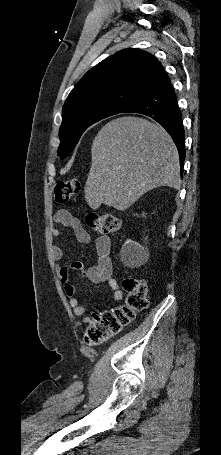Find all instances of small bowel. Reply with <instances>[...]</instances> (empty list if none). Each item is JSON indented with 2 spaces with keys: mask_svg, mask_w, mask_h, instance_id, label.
Listing matches in <instances>:
<instances>
[{
  "mask_svg": "<svg viewBox=\"0 0 221 455\" xmlns=\"http://www.w3.org/2000/svg\"><path fill=\"white\" fill-rule=\"evenodd\" d=\"M55 222L59 226L69 228L74 231L77 239L81 243H89L90 235L85 230L80 220L73 214L66 210H60L55 216ZM54 237L61 236L60 230L57 227L51 229ZM95 247L97 252L96 265L85 269L83 263L73 262L69 265H63L59 268V280L64 286L68 302L72 307L73 313L76 316L84 315L87 308L81 304L80 299L76 296L75 285L69 283V274L71 271H79L87 277L94 284L106 283L113 291V300L120 301L123 297V292L119 288L116 279L112 277V261L110 258L111 242L107 236H99L95 240ZM52 256L55 260H61L64 257V252L61 247L54 245L51 250Z\"/></svg>",
  "mask_w": 221,
  "mask_h": 455,
  "instance_id": "small-bowel-1",
  "label": "small bowel"
}]
</instances>
